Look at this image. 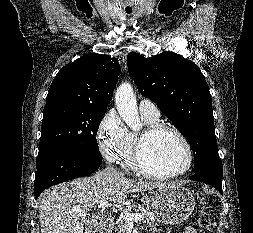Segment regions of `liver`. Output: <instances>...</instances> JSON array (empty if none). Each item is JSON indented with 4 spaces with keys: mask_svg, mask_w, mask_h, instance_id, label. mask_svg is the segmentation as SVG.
<instances>
[{
    "mask_svg": "<svg viewBox=\"0 0 253 233\" xmlns=\"http://www.w3.org/2000/svg\"><path fill=\"white\" fill-rule=\"evenodd\" d=\"M167 183L143 182L120 173L98 172L47 190L39 205L41 233H83L86 215L102 201L121 203L128 193L142 192Z\"/></svg>",
    "mask_w": 253,
    "mask_h": 233,
    "instance_id": "6515ba94",
    "label": "liver"
}]
</instances>
